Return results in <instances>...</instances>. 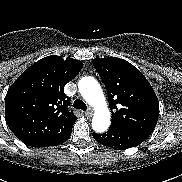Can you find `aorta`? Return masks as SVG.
Segmentation results:
<instances>
[{
  "mask_svg": "<svg viewBox=\"0 0 182 182\" xmlns=\"http://www.w3.org/2000/svg\"><path fill=\"white\" fill-rule=\"evenodd\" d=\"M79 92L87 103L95 109L92 128L98 133L105 132L110 125V112L102 89L96 79L83 77L78 84Z\"/></svg>",
  "mask_w": 182,
  "mask_h": 182,
  "instance_id": "aorta-1",
  "label": "aorta"
}]
</instances>
